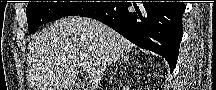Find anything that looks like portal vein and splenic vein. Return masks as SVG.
I'll return each mask as SVG.
<instances>
[{
	"mask_svg": "<svg viewBox=\"0 0 216 90\" xmlns=\"http://www.w3.org/2000/svg\"><path fill=\"white\" fill-rule=\"evenodd\" d=\"M83 72H88V70H83Z\"/></svg>",
	"mask_w": 216,
	"mask_h": 90,
	"instance_id": "18ae733b",
	"label": "portal vein and splenic vein"
}]
</instances>
